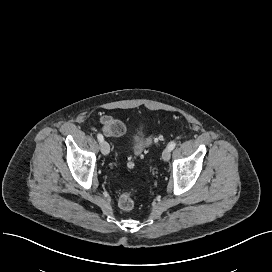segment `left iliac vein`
Segmentation results:
<instances>
[{
  "label": "left iliac vein",
  "instance_id": "1",
  "mask_svg": "<svg viewBox=\"0 0 272 272\" xmlns=\"http://www.w3.org/2000/svg\"><path fill=\"white\" fill-rule=\"evenodd\" d=\"M170 157H171V150L167 147L162 152V159L167 162L169 161Z\"/></svg>",
  "mask_w": 272,
  "mask_h": 272
}]
</instances>
